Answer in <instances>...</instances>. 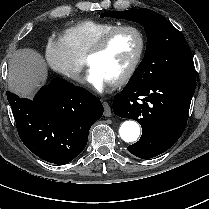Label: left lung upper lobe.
<instances>
[{
    "label": "left lung upper lobe",
    "mask_w": 209,
    "mask_h": 209,
    "mask_svg": "<svg viewBox=\"0 0 209 209\" xmlns=\"http://www.w3.org/2000/svg\"><path fill=\"white\" fill-rule=\"evenodd\" d=\"M101 16L134 21L145 28L146 52L131 81L148 82L194 67L191 49L184 36L159 13L140 8L109 11Z\"/></svg>",
    "instance_id": "obj_1"
}]
</instances>
